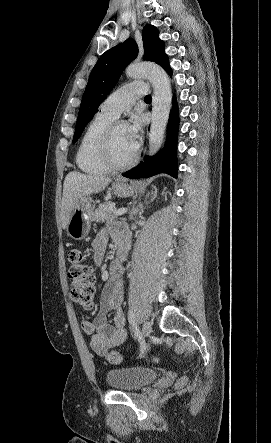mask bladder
<instances>
[{
  "instance_id": "31cf9c89",
  "label": "bladder",
  "mask_w": 271,
  "mask_h": 443,
  "mask_svg": "<svg viewBox=\"0 0 271 443\" xmlns=\"http://www.w3.org/2000/svg\"><path fill=\"white\" fill-rule=\"evenodd\" d=\"M157 372L148 367H118L108 371L106 382L117 391H134L149 384Z\"/></svg>"
}]
</instances>
